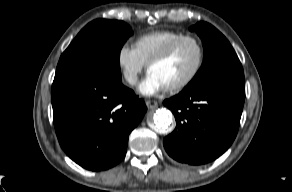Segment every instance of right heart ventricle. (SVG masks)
Segmentation results:
<instances>
[{
    "instance_id": "right-heart-ventricle-1",
    "label": "right heart ventricle",
    "mask_w": 292,
    "mask_h": 192,
    "mask_svg": "<svg viewBox=\"0 0 292 192\" xmlns=\"http://www.w3.org/2000/svg\"><path fill=\"white\" fill-rule=\"evenodd\" d=\"M183 35L182 32L169 29L151 31L137 37L134 48L142 61L147 64L152 57Z\"/></svg>"
}]
</instances>
